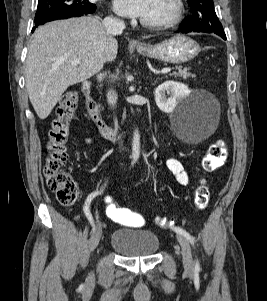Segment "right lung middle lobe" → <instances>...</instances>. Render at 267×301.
I'll return each instance as SVG.
<instances>
[{
    "mask_svg": "<svg viewBox=\"0 0 267 301\" xmlns=\"http://www.w3.org/2000/svg\"><path fill=\"white\" fill-rule=\"evenodd\" d=\"M96 6L90 0H39L35 22L57 13H89Z\"/></svg>",
    "mask_w": 267,
    "mask_h": 301,
    "instance_id": "dd1d6c3e",
    "label": "right lung middle lobe"
}]
</instances>
